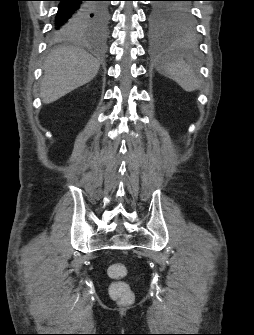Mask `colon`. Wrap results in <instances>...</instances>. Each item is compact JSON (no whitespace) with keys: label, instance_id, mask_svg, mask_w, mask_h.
<instances>
[{"label":"colon","instance_id":"obj_1","mask_svg":"<svg viewBox=\"0 0 254 335\" xmlns=\"http://www.w3.org/2000/svg\"><path fill=\"white\" fill-rule=\"evenodd\" d=\"M107 272L109 277L113 279L108 288L110 296L124 303L130 302L132 300V292L126 283L123 282V278L127 273L126 267L121 263H114L108 267Z\"/></svg>","mask_w":254,"mask_h":335}]
</instances>
